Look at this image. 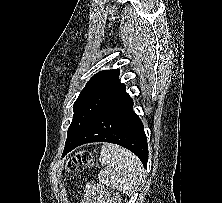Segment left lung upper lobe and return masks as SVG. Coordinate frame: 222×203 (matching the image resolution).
I'll return each mask as SVG.
<instances>
[{
	"label": "left lung upper lobe",
	"instance_id": "1",
	"mask_svg": "<svg viewBox=\"0 0 222 203\" xmlns=\"http://www.w3.org/2000/svg\"><path fill=\"white\" fill-rule=\"evenodd\" d=\"M119 74V69L100 71L89 80L74 103L66 144L82 132L102 104L124 85Z\"/></svg>",
	"mask_w": 222,
	"mask_h": 203
}]
</instances>
